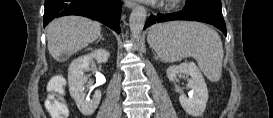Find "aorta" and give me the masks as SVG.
<instances>
[{"instance_id":"1","label":"aorta","mask_w":273,"mask_h":118,"mask_svg":"<svg viewBox=\"0 0 273 118\" xmlns=\"http://www.w3.org/2000/svg\"><path fill=\"white\" fill-rule=\"evenodd\" d=\"M146 9L136 6L129 17V26L134 40L139 41L146 21Z\"/></svg>"}]
</instances>
